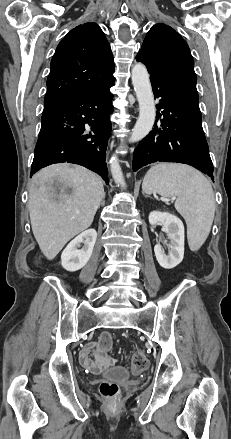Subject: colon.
Returning <instances> with one entry per match:
<instances>
[{
	"label": "colon",
	"instance_id": "colon-1",
	"mask_svg": "<svg viewBox=\"0 0 231 439\" xmlns=\"http://www.w3.org/2000/svg\"><path fill=\"white\" fill-rule=\"evenodd\" d=\"M99 347L102 351L108 352L112 348L113 340L109 333H103L99 338ZM149 366V360L146 353L142 350H137L133 353L131 358V368L134 373H140L146 370ZM101 395L107 399H115L119 395L120 388L118 384L111 381H103L99 386Z\"/></svg>",
	"mask_w": 231,
	"mask_h": 439
}]
</instances>
